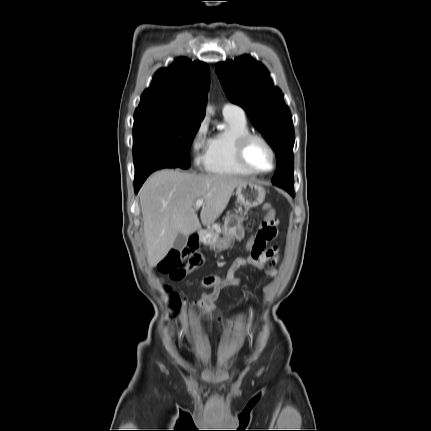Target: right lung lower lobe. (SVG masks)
Returning <instances> with one entry per match:
<instances>
[{"label": "right lung lower lobe", "instance_id": "1", "mask_svg": "<svg viewBox=\"0 0 431 431\" xmlns=\"http://www.w3.org/2000/svg\"><path fill=\"white\" fill-rule=\"evenodd\" d=\"M175 164L169 160L154 158L149 162L143 164L140 168L135 169V193L138 192L139 188L148 177L149 174L154 172L155 170L161 168H175Z\"/></svg>", "mask_w": 431, "mask_h": 431}]
</instances>
